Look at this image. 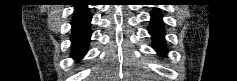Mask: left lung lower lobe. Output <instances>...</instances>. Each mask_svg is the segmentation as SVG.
Masks as SVG:
<instances>
[{
    "instance_id": "0a47b994",
    "label": "left lung lower lobe",
    "mask_w": 237,
    "mask_h": 81,
    "mask_svg": "<svg viewBox=\"0 0 237 81\" xmlns=\"http://www.w3.org/2000/svg\"><path fill=\"white\" fill-rule=\"evenodd\" d=\"M149 32L154 39V43H153L154 49L159 54L165 55L167 52V49L165 47L163 22L161 19V14L157 10H155L152 13V21H151V26L149 28Z\"/></svg>"
}]
</instances>
